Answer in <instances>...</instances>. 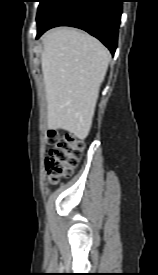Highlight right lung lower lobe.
Wrapping results in <instances>:
<instances>
[{
	"mask_svg": "<svg viewBox=\"0 0 158 275\" xmlns=\"http://www.w3.org/2000/svg\"><path fill=\"white\" fill-rule=\"evenodd\" d=\"M122 0H57L37 23V37L56 26L83 29L114 54L122 13Z\"/></svg>",
	"mask_w": 158,
	"mask_h": 275,
	"instance_id": "98d812e1",
	"label": "right lung lower lobe"
}]
</instances>
